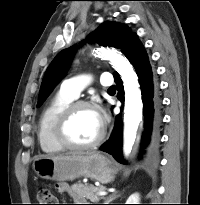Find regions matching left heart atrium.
Segmentation results:
<instances>
[{
	"label": "left heart atrium",
	"mask_w": 200,
	"mask_h": 205,
	"mask_svg": "<svg viewBox=\"0 0 200 205\" xmlns=\"http://www.w3.org/2000/svg\"><path fill=\"white\" fill-rule=\"evenodd\" d=\"M96 112H97L98 117L100 118V120H101V122H102L103 119H104V115H103V113H102L101 111H96Z\"/></svg>",
	"instance_id": "left-heart-atrium-1"
}]
</instances>
